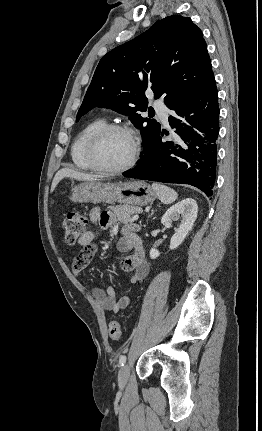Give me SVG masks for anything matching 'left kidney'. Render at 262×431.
<instances>
[{"label": "left kidney", "instance_id": "obj_1", "mask_svg": "<svg viewBox=\"0 0 262 431\" xmlns=\"http://www.w3.org/2000/svg\"><path fill=\"white\" fill-rule=\"evenodd\" d=\"M198 206L194 199L187 198L171 206L163 215L161 222L165 227H171L174 221L180 220L175 234L170 241V249H175L182 244L197 218ZM160 252L151 248L150 258L156 259Z\"/></svg>", "mask_w": 262, "mask_h": 431}]
</instances>
